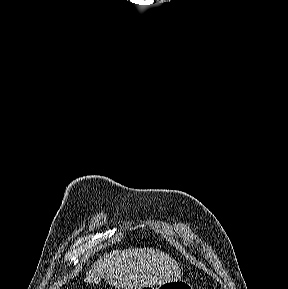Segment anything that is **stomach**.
Wrapping results in <instances>:
<instances>
[{"label": "stomach", "instance_id": "0dacf381", "mask_svg": "<svg viewBox=\"0 0 288 289\" xmlns=\"http://www.w3.org/2000/svg\"><path fill=\"white\" fill-rule=\"evenodd\" d=\"M148 289H154V287H148ZM155 289H193V287L184 280H177L160 284Z\"/></svg>", "mask_w": 288, "mask_h": 289}]
</instances>
